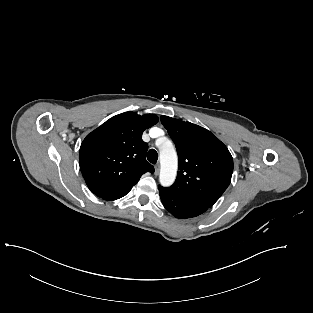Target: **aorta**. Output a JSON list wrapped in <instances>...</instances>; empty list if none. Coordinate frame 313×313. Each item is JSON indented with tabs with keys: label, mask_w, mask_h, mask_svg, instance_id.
<instances>
[{
	"label": "aorta",
	"mask_w": 313,
	"mask_h": 313,
	"mask_svg": "<svg viewBox=\"0 0 313 313\" xmlns=\"http://www.w3.org/2000/svg\"><path fill=\"white\" fill-rule=\"evenodd\" d=\"M160 164V184L164 187L171 186L177 175L178 158L170 141H167V146L160 149Z\"/></svg>",
	"instance_id": "762f6f07"
}]
</instances>
